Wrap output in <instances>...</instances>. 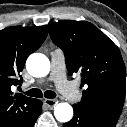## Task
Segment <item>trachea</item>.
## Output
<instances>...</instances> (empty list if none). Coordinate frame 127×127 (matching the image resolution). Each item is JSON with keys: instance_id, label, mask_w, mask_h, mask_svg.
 Instances as JSON below:
<instances>
[{"instance_id": "obj_1", "label": "trachea", "mask_w": 127, "mask_h": 127, "mask_svg": "<svg viewBox=\"0 0 127 127\" xmlns=\"http://www.w3.org/2000/svg\"><path fill=\"white\" fill-rule=\"evenodd\" d=\"M26 94L28 96L37 97V98H40L43 95H44V97L49 98V99L56 97V93L53 91L47 90L44 92V94H42L41 90H39L37 88L30 89L29 91L26 92Z\"/></svg>"}]
</instances>
